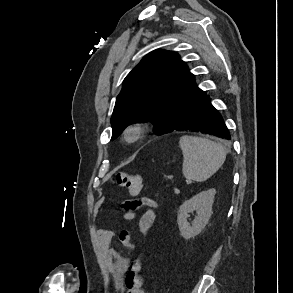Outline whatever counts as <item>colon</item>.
Instances as JSON below:
<instances>
[{
    "instance_id": "5ec220e1",
    "label": "colon",
    "mask_w": 293,
    "mask_h": 293,
    "mask_svg": "<svg viewBox=\"0 0 293 293\" xmlns=\"http://www.w3.org/2000/svg\"><path fill=\"white\" fill-rule=\"evenodd\" d=\"M112 180L118 186L126 188L133 195L138 194L143 187L141 176L128 172H118L113 175ZM141 270L142 262L139 259H135L124 279L126 293H144Z\"/></svg>"
}]
</instances>
